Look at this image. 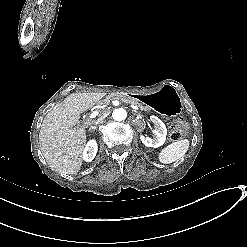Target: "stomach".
<instances>
[{"label":"stomach","mask_w":247,"mask_h":247,"mask_svg":"<svg viewBox=\"0 0 247 247\" xmlns=\"http://www.w3.org/2000/svg\"><path fill=\"white\" fill-rule=\"evenodd\" d=\"M134 97L151 109L166 116H177L182 111L181 99L176 91L168 85L162 86L155 92L134 95Z\"/></svg>","instance_id":"1"}]
</instances>
